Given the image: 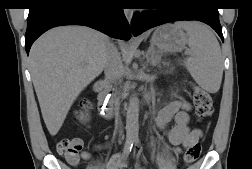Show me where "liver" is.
<instances>
[{
	"mask_svg": "<svg viewBox=\"0 0 252 169\" xmlns=\"http://www.w3.org/2000/svg\"><path fill=\"white\" fill-rule=\"evenodd\" d=\"M110 38L84 26L53 28L32 45L29 68L50 135L60 130L79 94L105 66Z\"/></svg>",
	"mask_w": 252,
	"mask_h": 169,
	"instance_id": "1",
	"label": "liver"
}]
</instances>
